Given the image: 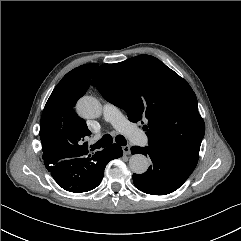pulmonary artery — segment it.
Wrapping results in <instances>:
<instances>
[{
    "label": "pulmonary artery",
    "mask_w": 241,
    "mask_h": 241,
    "mask_svg": "<svg viewBox=\"0 0 241 241\" xmlns=\"http://www.w3.org/2000/svg\"><path fill=\"white\" fill-rule=\"evenodd\" d=\"M103 116L110 122L116 130L128 136L138 145L147 144V138L143 132L135 127L129 120L111 103L105 102L103 105Z\"/></svg>",
    "instance_id": "1"
}]
</instances>
